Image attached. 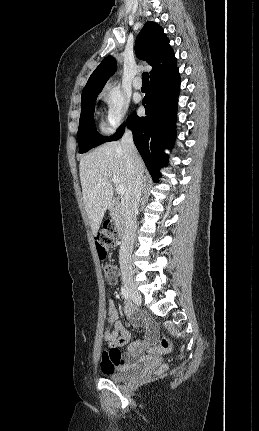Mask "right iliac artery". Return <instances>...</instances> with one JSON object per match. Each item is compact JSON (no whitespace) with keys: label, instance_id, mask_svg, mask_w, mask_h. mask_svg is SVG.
Masks as SVG:
<instances>
[{"label":"right iliac artery","instance_id":"1","mask_svg":"<svg viewBox=\"0 0 259 431\" xmlns=\"http://www.w3.org/2000/svg\"><path fill=\"white\" fill-rule=\"evenodd\" d=\"M121 294L123 295V297L126 299V300H128L129 299V294H128V291L126 290V288L125 287H121Z\"/></svg>","mask_w":259,"mask_h":431}]
</instances>
